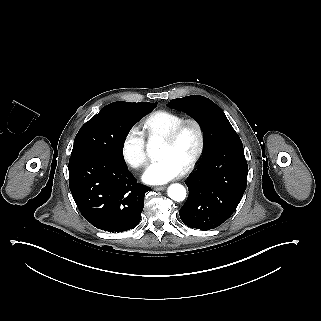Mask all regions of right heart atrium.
<instances>
[{"mask_svg":"<svg viewBox=\"0 0 321 321\" xmlns=\"http://www.w3.org/2000/svg\"><path fill=\"white\" fill-rule=\"evenodd\" d=\"M121 155L126 164L140 168L146 162L145 136L139 126L130 127L121 141Z\"/></svg>","mask_w":321,"mask_h":321,"instance_id":"right-heart-atrium-1","label":"right heart atrium"}]
</instances>
